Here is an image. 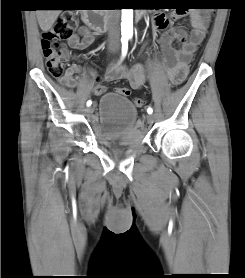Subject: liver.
Wrapping results in <instances>:
<instances>
[{
    "label": "liver",
    "mask_w": 245,
    "mask_h": 278,
    "mask_svg": "<svg viewBox=\"0 0 245 278\" xmlns=\"http://www.w3.org/2000/svg\"><path fill=\"white\" fill-rule=\"evenodd\" d=\"M61 10H37L36 16L42 31L47 32L57 20Z\"/></svg>",
    "instance_id": "obj_1"
}]
</instances>
